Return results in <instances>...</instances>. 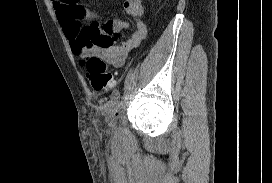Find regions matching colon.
Listing matches in <instances>:
<instances>
[{
	"label": "colon",
	"instance_id": "1",
	"mask_svg": "<svg viewBox=\"0 0 272 183\" xmlns=\"http://www.w3.org/2000/svg\"><path fill=\"white\" fill-rule=\"evenodd\" d=\"M81 65L85 68L86 76L94 90L107 91L115 85L116 73L111 71L98 57H87L81 61Z\"/></svg>",
	"mask_w": 272,
	"mask_h": 183
}]
</instances>
